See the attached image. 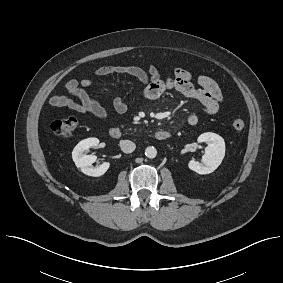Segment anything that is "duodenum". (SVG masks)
<instances>
[{
  "label": "duodenum",
  "instance_id": "duodenum-1",
  "mask_svg": "<svg viewBox=\"0 0 283 283\" xmlns=\"http://www.w3.org/2000/svg\"><path fill=\"white\" fill-rule=\"evenodd\" d=\"M109 134H110V137L112 138V139H115V140H118V139H120L121 138V130L119 129V128H117V127H113V128H111L110 129V131H109ZM170 132L169 131H167V130H161V131H158V132H156L155 133V138L157 139V140H166V139H168L169 137H170Z\"/></svg>",
  "mask_w": 283,
  "mask_h": 283
}]
</instances>
